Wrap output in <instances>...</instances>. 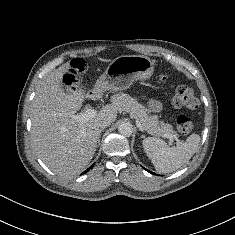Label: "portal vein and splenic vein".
I'll list each match as a JSON object with an SVG mask.
<instances>
[{
	"label": "portal vein and splenic vein",
	"mask_w": 235,
	"mask_h": 235,
	"mask_svg": "<svg viewBox=\"0 0 235 235\" xmlns=\"http://www.w3.org/2000/svg\"><path fill=\"white\" fill-rule=\"evenodd\" d=\"M97 114L96 110L93 108H87L85 111H83L80 114L77 115H73V118L79 122H83L89 118L94 117ZM136 126L139 128L140 131H144V127L142 126V124L136 119ZM166 138L169 139V144H173L174 139L171 135H166ZM177 144L180 145L181 142L178 140Z\"/></svg>",
	"instance_id": "18ae733b"
}]
</instances>
